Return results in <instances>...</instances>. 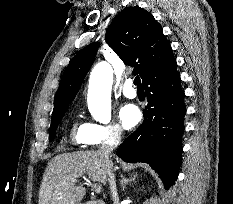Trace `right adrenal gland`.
<instances>
[{"label": "right adrenal gland", "mask_w": 233, "mask_h": 204, "mask_svg": "<svg viewBox=\"0 0 233 204\" xmlns=\"http://www.w3.org/2000/svg\"><path fill=\"white\" fill-rule=\"evenodd\" d=\"M137 175H134V177H131L130 179H126L125 177H123V175H121V186L123 188V190L125 189L126 185L133 181L136 178Z\"/></svg>", "instance_id": "right-adrenal-gland-1"}]
</instances>
